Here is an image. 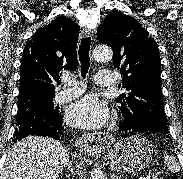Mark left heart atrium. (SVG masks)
<instances>
[{"label":"left heart atrium","mask_w":183,"mask_h":179,"mask_svg":"<svg viewBox=\"0 0 183 179\" xmlns=\"http://www.w3.org/2000/svg\"><path fill=\"white\" fill-rule=\"evenodd\" d=\"M109 111L104 102L93 95H87L73 103L68 109V121L84 129H98L108 120Z\"/></svg>","instance_id":"obj_1"}]
</instances>
